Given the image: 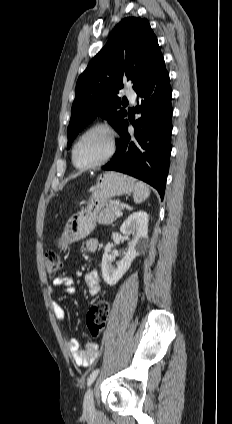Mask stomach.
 <instances>
[{"instance_id":"stomach-1","label":"stomach","mask_w":232,"mask_h":424,"mask_svg":"<svg viewBox=\"0 0 232 424\" xmlns=\"http://www.w3.org/2000/svg\"><path fill=\"white\" fill-rule=\"evenodd\" d=\"M134 189V180L126 175L106 172L101 175L91 188V199L87 208L70 221L56 246L63 250L69 244L87 237L95 227L97 213L102 210L108 201L117 196L131 193Z\"/></svg>"}]
</instances>
